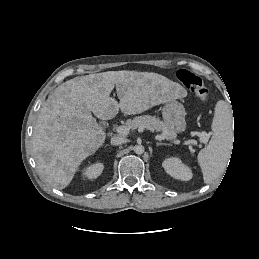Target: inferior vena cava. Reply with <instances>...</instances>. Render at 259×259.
Here are the masks:
<instances>
[{"label": "inferior vena cava", "mask_w": 259, "mask_h": 259, "mask_svg": "<svg viewBox=\"0 0 259 259\" xmlns=\"http://www.w3.org/2000/svg\"><path fill=\"white\" fill-rule=\"evenodd\" d=\"M110 142L112 145H122L127 142V139L120 136H114L111 138Z\"/></svg>", "instance_id": "602c4592"}]
</instances>
